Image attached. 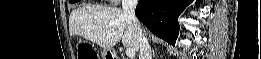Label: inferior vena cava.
Returning a JSON list of instances; mask_svg holds the SVG:
<instances>
[{
    "label": "inferior vena cava",
    "mask_w": 261,
    "mask_h": 59,
    "mask_svg": "<svg viewBox=\"0 0 261 59\" xmlns=\"http://www.w3.org/2000/svg\"><path fill=\"white\" fill-rule=\"evenodd\" d=\"M137 0H122L123 13L126 19L133 23L137 30L139 41V59H152V51L146 33L143 31L139 20L135 16Z\"/></svg>",
    "instance_id": "602c4592"
}]
</instances>
